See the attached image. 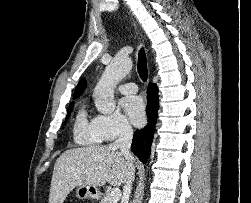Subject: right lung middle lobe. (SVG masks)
I'll use <instances>...</instances> for the list:
<instances>
[{
	"instance_id": "dd1d6c3e",
	"label": "right lung middle lobe",
	"mask_w": 251,
	"mask_h": 203,
	"mask_svg": "<svg viewBox=\"0 0 251 203\" xmlns=\"http://www.w3.org/2000/svg\"><path fill=\"white\" fill-rule=\"evenodd\" d=\"M73 105H74V102H73V103H71V104L69 105L66 120L68 119V117H69V115H70V113H71V110H72V108H73Z\"/></svg>"
}]
</instances>
